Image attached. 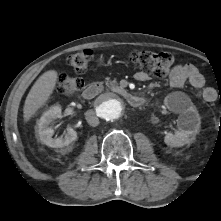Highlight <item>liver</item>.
<instances>
[{
  "mask_svg": "<svg viewBox=\"0 0 221 221\" xmlns=\"http://www.w3.org/2000/svg\"><path fill=\"white\" fill-rule=\"evenodd\" d=\"M57 72L49 70L43 73L30 89L23 107L24 121L27 122L41 108L53 93L56 82Z\"/></svg>",
  "mask_w": 221,
  "mask_h": 221,
  "instance_id": "1",
  "label": "liver"
}]
</instances>
